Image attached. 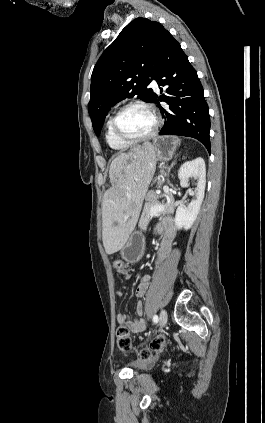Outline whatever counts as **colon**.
Segmentation results:
<instances>
[{"instance_id": "1", "label": "colon", "mask_w": 265, "mask_h": 423, "mask_svg": "<svg viewBox=\"0 0 265 423\" xmlns=\"http://www.w3.org/2000/svg\"><path fill=\"white\" fill-rule=\"evenodd\" d=\"M113 268L119 272L124 268V263L120 259L113 261ZM117 345L123 352H129L132 348V342L129 330L126 325L122 324L116 330ZM165 344V337L162 335L154 337L146 348L139 352V359L141 362L150 361L156 354H158Z\"/></svg>"}]
</instances>
